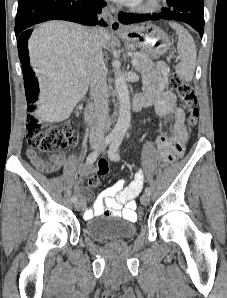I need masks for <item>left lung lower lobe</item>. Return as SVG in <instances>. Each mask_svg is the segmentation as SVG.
<instances>
[{
	"label": "left lung lower lobe",
	"instance_id": "1",
	"mask_svg": "<svg viewBox=\"0 0 227 298\" xmlns=\"http://www.w3.org/2000/svg\"><path fill=\"white\" fill-rule=\"evenodd\" d=\"M168 7L158 14L133 15L119 13V21L123 24L144 22L149 20H178L191 25L201 36L204 32L203 0H166Z\"/></svg>",
	"mask_w": 227,
	"mask_h": 298
}]
</instances>
